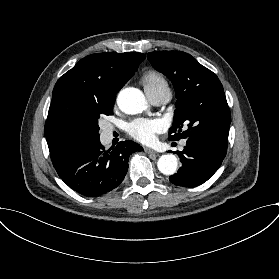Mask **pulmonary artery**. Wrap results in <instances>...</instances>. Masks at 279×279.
Returning a JSON list of instances; mask_svg holds the SVG:
<instances>
[{
    "label": "pulmonary artery",
    "mask_w": 279,
    "mask_h": 279,
    "mask_svg": "<svg viewBox=\"0 0 279 279\" xmlns=\"http://www.w3.org/2000/svg\"><path fill=\"white\" fill-rule=\"evenodd\" d=\"M148 99L155 105H160L167 102L171 97L170 88L167 84L158 86L156 88H145ZM106 132L110 134L112 128L106 129Z\"/></svg>",
    "instance_id": "pulmonary-artery-1"
}]
</instances>
